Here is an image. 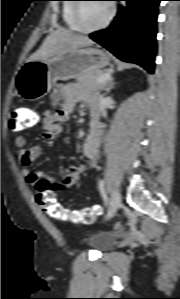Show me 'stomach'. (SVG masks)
Here are the masks:
<instances>
[{"label": "stomach", "instance_id": "1", "mask_svg": "<svg viewBox=\"0 0 180 299\" xmlns=\"http://www.w3.org/2000/svg\"><path fill=\"white\" fill-rule=\"evenodd\" d=\"M109 64L108 53L90 47L68 50L49 60L27 61L16 74V91L23 99L35 101L47 95L56 81L76 79Z\"/></svg>", "mask_w": 180, "mask_h": 299}]
</instances>
